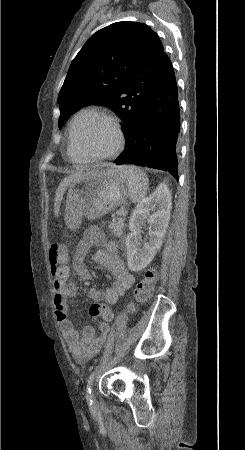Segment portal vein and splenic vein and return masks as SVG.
<instances>
[{
  "label": "portal vein and splenic vein",
  "mask_w": 245,
  "mask_h": 450,
  "mask_svg": "<svg viewBox=\"0 0 245 450\" xmlns=\"http://www.w3.org/2000/svg\"><path fill=\"white\" fill-rule=\"evenodd\" d=\"M118 215H126V212H124V211H119L118 213H117Z\"/></svg>",
  "instance_id": "portal-vein-and-splenic-vein-1"
}]
</instances>
